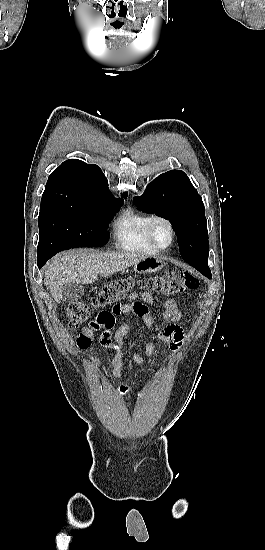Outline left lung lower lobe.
<instances>
[{
	"label": "left lung lower lobe",
	"instance_id": "1",
	"mask_svg": "<svg viewBox=\"0 0 265 550\" xmlns=\"http://www.w3.org/2000/svg\"><path fill=\"white\" fill-rule=\"evenodd\" d=\"M186 262V261H185ZM187 263H189L191 266H193L195 269H197L200 273H202L207 278L211 279V271L208 267V259H197V260H190Z\"/></svg>",
	"mask_w": 265,
	"mask_h": 550
}]
</instances>
